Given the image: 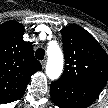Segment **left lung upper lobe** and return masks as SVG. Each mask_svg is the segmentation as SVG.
Returning <instances> with one entry per match:
<instances>
[{
  "label": "left lung upper lobe",
  "mask_w": 108,
  "mask_h": 108,
  "mask_svg": "<svg viewBox=\"0 0 108 108\" xmlns=\"http://www.w3.org/2000/svg\"><path fill=\"white\" fill-rule=\"evenodd\" d=\"M65 69L60 79L104 88L108 81V55L82 27L62 29Z\"/></svg>",
  "instance_id": "obj_1"
}]
</instances>
